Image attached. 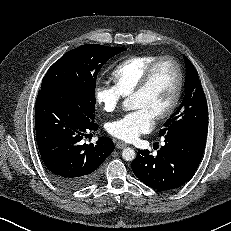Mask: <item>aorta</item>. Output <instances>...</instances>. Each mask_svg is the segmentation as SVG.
I'll use <instances>...</instances> for the list:
<instances>
[{"label":"aorta","instance_id":"762f6f07","mask_svg":"<svg viewBox=\"0 0 231 231\" xmlns=\"http://www.w3.org/2000/svg\"><path fill=\"white\" fill-rule=\"evenodd\" d=\"M123 106L126 110H130L133 108L129 99L124 100ZM122 157L126 161H133L136 157V153L132 148H125L122 151Z\"/></svg>","mask_w":231,"mask_h":231}]
</instances>
